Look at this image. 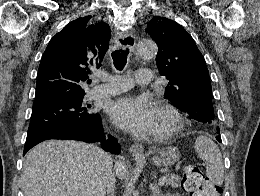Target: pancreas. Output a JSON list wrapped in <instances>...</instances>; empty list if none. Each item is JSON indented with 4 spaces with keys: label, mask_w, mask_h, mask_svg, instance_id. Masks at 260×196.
<instances>
[{
    "label": "pancreas",
    "mask_w": 260,
    "mask_h": 196,
    "mask_svg": "<svg viewBox=\"0 0 260 196\" xmlns=\"http://www.w3.org/2000/svg\"><path fill=\"white\" fill-rule=\"evenodd\" d=\"M166 178V184H168V186H171V188H178L181 182L180 176H177V174H171V176H166Z\"/></svg>",
    "instance_id": "cf45deb5"
}]
</instances>
